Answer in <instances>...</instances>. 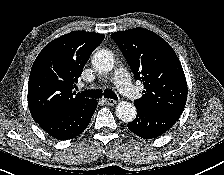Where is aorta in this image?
Instances as JSON below:
<instances>
[{"label":"aorta","mask_w":224,"mask_h":175,"mask_svg":"<svg viewBox=\"0 0 224 175\" xmlns=\"http://www.w3.org/2000/svg\"><path fill=\"white\" fill-rule=\"evenodd\" d=\"M92 65L100 72H108L113 69L114 57L108 50L97 51L92 58ZM116 116L124 122H131L136 117L135 106L127 101H121L116 106Z\"/></svg>","instance_id":"1"}]
</instances>
